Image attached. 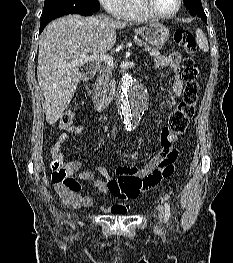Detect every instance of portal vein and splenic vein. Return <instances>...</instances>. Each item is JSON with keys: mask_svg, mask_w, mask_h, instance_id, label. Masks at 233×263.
I'll return each instance as SVG.
<instances>
[{"mask_svg": "<svg viewBox=\"0 0 233 263\" xmlns=\"http://www.w3.org/2000/svg\"><path fill=\"white\" fill-rule=\"evenodd\" d=\"M159 54L158 51L150 53L151 56H158ZM89 61H95L98 63L105 62L109 66H113V58L107 54L82 55L81 57L74 59L72 62L65 64V66H81Z\"/></svg>", "mask_w": 233, "mask_h": 263, "instance_id": "18ae733b", "label": "portal vein and splenic vein"}]
</instances>
